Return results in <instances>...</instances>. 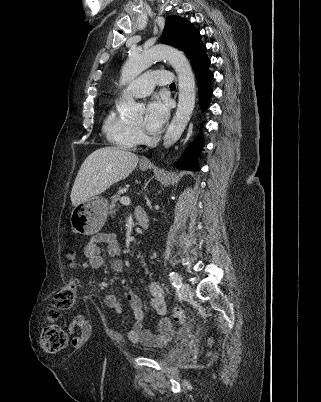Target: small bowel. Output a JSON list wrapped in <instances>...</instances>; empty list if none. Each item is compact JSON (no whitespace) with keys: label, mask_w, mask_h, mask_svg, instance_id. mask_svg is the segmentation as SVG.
<instances>
[{"label":"small bowel","mask_w":321,"mask_h":402,"mask_svg":"<svg viewBox=\"0 0 321 402\" xmlns=\"http://www.w3.org/2000/svg\"><path fill=\"white\" fill-rule=\"evenodd\" d=\"M103 244L107 245L109 255L115 258L112 263L113 270L122 273L124 265L118 258L121 254V245L114 233H100L88 241L85 247V255L89 266L96 270L106 267V261L101 254V246ZM148 290L150 294V308L158 315H165L167 313V306L163 290L159 283L150 281ZM127 298L134 317L133 328L128 332V338L131 342L147 347H158L171 340L173 328L170 319L163 318L159 321L157 333L145 330L143 328L144 311L140 297L128 287ZM104 301L107 307L113 309L117 314L122 313L121 299L116 293H107ZM68 330L73 334L72 343L75 347L80 346L90 334V326L82 315H76L72 319Z\"/></svg>","instance_id":"c3829d8e"}]
</instances>
